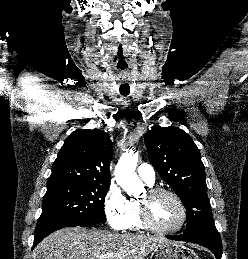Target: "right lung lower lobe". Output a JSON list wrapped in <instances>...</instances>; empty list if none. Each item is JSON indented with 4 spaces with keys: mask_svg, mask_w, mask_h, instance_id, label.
I'll return each mask as SVG.
<instances>
[{
    "mask_svg": "<svg viewBox=\"0 0 248 259\" xmlns=\"http://www.w3.org/2000/svg\"><path fill=\"white\" fill-rule=\"evenodd\" d=\"M75 226L90 227V225L78 224L74 222L61 221V220H51V221L37 223L33 247L36 246L39 242H41L50 233L64 227H75Z\"/></svg>",
    "mask_w": 248,
    "mask_h": 259,
    "instance_id": "98d812e1",
    "label": "right lung lower lobe"
}]
</instances>
